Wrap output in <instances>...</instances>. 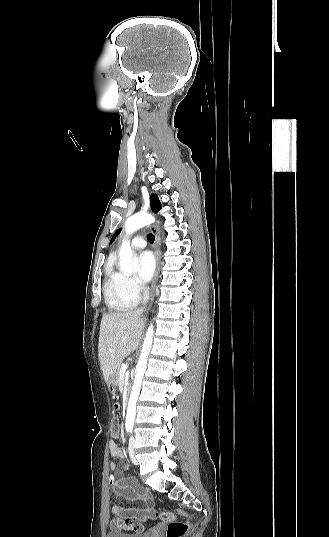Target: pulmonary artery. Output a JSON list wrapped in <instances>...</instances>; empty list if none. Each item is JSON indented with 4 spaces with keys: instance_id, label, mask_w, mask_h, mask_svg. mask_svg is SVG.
Wrapping results in <instances>:
<instances>
[{
    "instance_id": "pulmonary-artery-1",
    "label": "pulmonary artery",
    "mask_w": 329,
    "mask_h": 537,
    "mask_svg": "<svg viewBox=\"0 0 329 537\" xmlns=\"http://www.w3.org/2000/svg\"><path fill=\"white\" fill-rule=\"evenodd\" d=\"M146 241L141 236H136L131 241V247L136 250L145 248Z\"/></svg>"
}]
</instances>
